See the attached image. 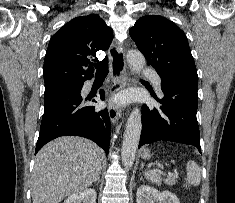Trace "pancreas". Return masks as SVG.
<instances>
[{
    "label": "pancreas",
    "instance_id": "pancreas-1",
    "mask_svg": "<svg viewBox=\"0 0 235 203\" xmlns=\"http://www.w3.org/2000/svg\"><path fill=\"white\" fill-rule=\"evenodd\" d=\"M165 182L168 185H174L177 182V177H168Z\"/></svg>",
    "mask_w": 235,
    "mask_h": 203
}]
</instances>
